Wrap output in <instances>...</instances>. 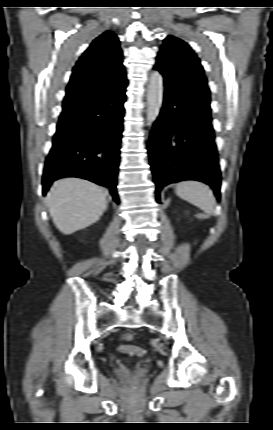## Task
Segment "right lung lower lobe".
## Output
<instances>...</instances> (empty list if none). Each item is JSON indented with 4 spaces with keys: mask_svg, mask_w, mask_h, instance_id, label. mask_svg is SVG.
Here are the masks:
<instances>
[{
    "mask_svg": "<svg viewBox=\"0 0 273 430\" xmlns=\"http://www.w3.org/2000/svg\"><path fill=\"white\" fill-rule=\"evenodd\" d=\"M126 84H107L73 117L58 123L42 180L45 195L54 180L79 177L116 191Z\"/></svg>",
    "mask_w": 273,
    "mask_h": 430,
    "instance_id": "1",
    "label": "right lung lower lobe"
}]
</instances>
